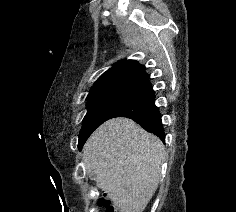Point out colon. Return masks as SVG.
<instances>
[{"mask_svg": "<svg viewBox=\"0 0 236 212\" xmlns=\"http://www.w3.org/2000/svg\"><path fill=\"white\" fill-rule=\"evenodd\" d=\"M99 203H100V205H103L104 207H106L107 212H117L115 207L112 205L109 197L104 196V197L100 198Z\"/></svg>", "mask_w": 236, "mask_h": 212, "instance_id": "colon-1", "label": "colon"}]
</instances>
